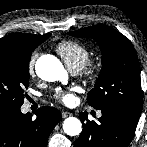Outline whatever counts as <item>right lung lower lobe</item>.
Returning a JSON list of instances; mask_svg holds the SVG:
<instances>
[{
  "label": "right lung lower lobe",
  "instance_id": "right-lung-lower-lobe-1",
  "mask_svg": "<svg viewBox=\"0 0 147 147\" xmlns=\"http://www.w3.org/2000/svg\"><path fill=\"white\" fill-rule=\"evenodd\" d=\"M61 119L58 109L43 107L32 114L20 108L0 110V147H47L49 134Z\"/></svg>",
  "mask_w": 147,
  "mask_h": 147
}]
</instances>
